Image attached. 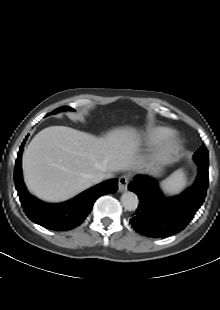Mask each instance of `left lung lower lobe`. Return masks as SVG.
<instances>
[{"instance_id":"0a47b994","label":"left lung lower lobe","mask_w":220,"mask_h":310,"mask_svg":"<svg viewBox=\"0 0 220 310\" xmlns=\"http://www.w3.org/2000/svg\"><path fill=\"white\" fill-rule=\"evenodd\" d=\"M208 166L199 165L192 187L178 196L167 197L155 179L137 175L128 185L140 204L130 219L134 229L147 237H167L183 230L204 202L208 187Z\"/></svg>"}]
</instances>
